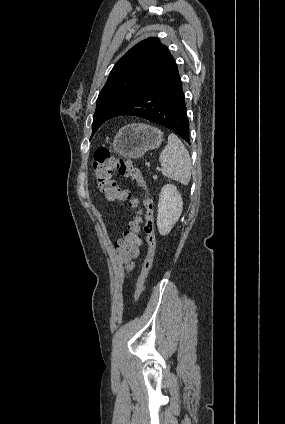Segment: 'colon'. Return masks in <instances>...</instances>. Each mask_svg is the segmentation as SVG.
Listing matches in <instances>:
<instances>
[{"label":"colon","mask_w":285,"mask_h":424,"mask_svg":"<svg viewBox=\"0 0 285 424\" xmlns=\"http://www.w3.org/2000/svg\"><path fill=\"white\" fill-rule=\"evenodd\" d=\"M93 179L97 190L110 201L125 202L129 201L132 205L136 201L132 199L130 191L123 189L117 185L112 177L113 171H117L124 177L131 178L139 189L145 192L144 205L146 208L145 222L142 224V219L136 216L129 223L128 229L122 234V237L114 244L116 253L123 259H132L136 250L141 244L139 234L143 233L146 238L147 251L143 261L141 274L137 283V292L135 300H138L144 291L147 277L152 268L155 257L156 238L154 224L152 218L153 202L148 193L146 180L138 167L130 160L112 154L107 148H98L94 153L93 160Z\"/></svg>","instance_id":"obj_1"}]
</instances>
